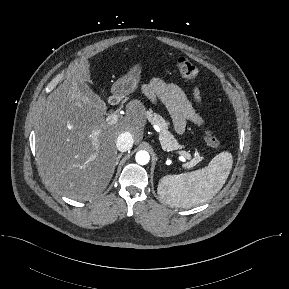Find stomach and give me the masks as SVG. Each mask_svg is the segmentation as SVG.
<instances>
[{
	"label": "stomach",
	"mask_w": 289,
	"mask_h": 289,
	"mask_svg": "<svg viewBox=\"0 0 289 289\" xmlns=\"http://www.w3.org/2000/svg\"><path fill=\"white\" fill-rule=\"evenodd\" d=\"M148 61L154 62V58ZM142 73V65L140 63L132 66L129 71L119 78L112 86V93L120 98L132 93L138 86Z\"/></svg>",
	"instance_id": "1"
}]
</instances>
